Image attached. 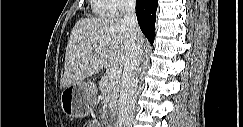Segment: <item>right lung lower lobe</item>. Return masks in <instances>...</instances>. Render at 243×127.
I'll return each mask as SVG.
<instances>
[{
    "instance_id": "98d812e1",
    "label": "right lung lower lobe",
    "mask_w": 243,
    "mask_h": 127,
    "mask_svg": "<svg viewBox=\"0 0 243 127\" xmlns=\"http://www.w3.org/2000/svg\"><path fill=\"white\" fill-rule=\"evenodd\" d=\"M157 4L158 0H137L136 2V15L139 26L151 45L154 41Z\"/></svg>"
}]
</instances>
